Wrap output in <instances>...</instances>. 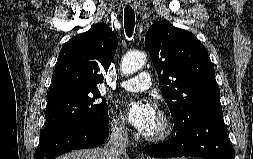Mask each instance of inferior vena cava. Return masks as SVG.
Masks as SVG:
<instances>
[{"label":"inferior vena cava","mask_w":253,"mask_h":159,"mask_svg":"<svg viewBox=\"0 0 253 159\" xmlns=\"http://www.w3.org/2000/svg\"><path fill=\"white\" fill-rule=\"evenodd\" d=\"M128 145V135L124 124L112 127L110 139L105 146L107 159H120L121 155H126Z\"/></svg>","instance_id":"obj_1"}]
</instances>
